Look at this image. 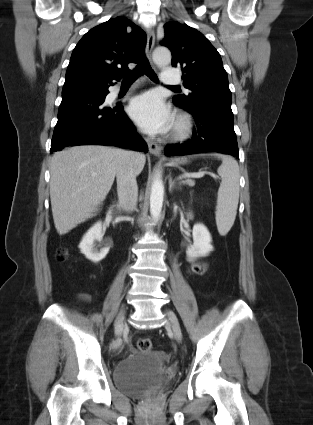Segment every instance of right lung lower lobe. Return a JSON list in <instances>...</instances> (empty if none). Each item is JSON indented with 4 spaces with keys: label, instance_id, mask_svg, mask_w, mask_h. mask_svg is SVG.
I'll list each match as a JSON object with an SVG mask.
<instances>
[{
    "label": "right lung lower lobe",
    "instance_id": "obj_1",
    "mask_svg": "<svg viewBox=\"0 0 313 425\" xmlns=\"http://www.w3.org/2000/svg\"><path fill=\"white\" fill-rule=\"evenodd\" d=\"M108 87L63 88L50 152L86 144L148 151L145 141L136 133L123 107L104 104L109 93Z\"/></svg>",
    "mask_w": 313,
    "mask_h": 425
}]
</instances>
